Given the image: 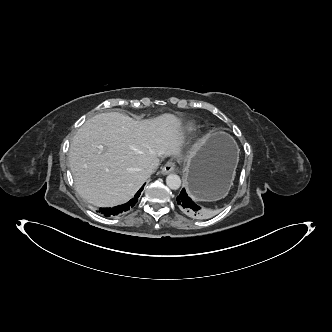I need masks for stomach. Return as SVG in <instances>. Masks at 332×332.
I'll use <instances>...</instances> for the list:
<instances>
[{
    "mask_svg": "<svg viewBox=\"0 0 332 332\" xmlns=\"http://www.w3.org/2000/svg\"><path fill=\"white\" fill-rule=\"evenodd\" d=\"M239 160V149L225 132L205 136L184 166V179L190 197L195 201L224 198L232 185Z\"/></svg>",
    "mask_w": 332,
    "mask_h": 332,
    "instance_id": "stomach-1",
    "label": "stomach"
}]
</instances>
